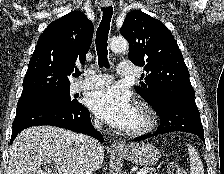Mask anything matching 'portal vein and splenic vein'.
<instances>
[{
  "label": "portal vein and splenic vein",
  "mask_w": 224,
  "mask_h": 174,
  "mask_svg": "<svg viewBox=\"0 0 224 174\" xmlns=\"http://www.w3.org/2000/svg\"><path fill=\"white\" fill-rule=\"evenodd\" d=\"M64 168H65L64 166L61 167V169H64ZM147 173H148L147 170H139V171L137 172V174H147Z\"/></svg>",
  "instance_id": "obj_1"
}]
</instances>
